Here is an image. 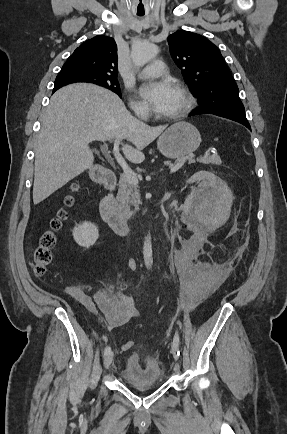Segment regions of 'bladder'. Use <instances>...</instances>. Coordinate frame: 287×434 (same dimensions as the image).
<instances>
[{"label":"bladder","instance_id":"obj_1","mask_svg":"<svg viewBox=\"0 0 287 434\" xmlns=\"http://www.w3.org/2000/svg\"><path fill=\"white\" fill-rule=\"evenodd\" d=\"M120 377L126 385L141 388L160 385L163 373L156 359L140 360L137 355H133L121 370Z\"/></svg>","mask_w":287,"mask_h":434}]
</instances>
